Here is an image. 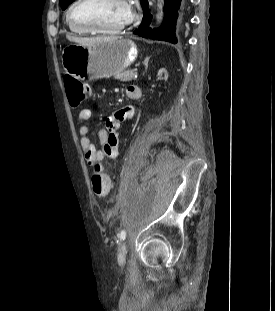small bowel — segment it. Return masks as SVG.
<instances>
[{
  "mask_svg": "<svg viewBox=\"0 0 275 311\" xmlns=\"http://www.w3.org/2000/svg\"><path fill=\"white\" fill-rule=\"evenodd\" d=\"M127 95L131 100L141 98V90L137 86H130ZM135 113L133 106H125L115 111L106 119L105 128L97 132L98 141L101 145L97 149L95 144L88 136L89 127L87 125L91 118V110L82 109L77 116L78 134L80 136V146L83 156L89 165L101 162L105 157L115 158L118 155V137L121 122L133 117Z\"/></svg>",
  "mask_w": 275,
  "mask_h": 311,
  "instance_id": "1",
  "label": "small bowel"
}]
</instances>
